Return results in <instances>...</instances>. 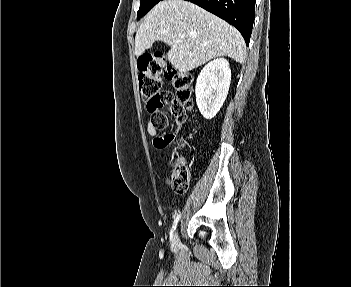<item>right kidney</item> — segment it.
<instances>
[{"label":"right kidney","instance_id":"1","mask_svg":"<svg viewBox=\"0 0 351 287\" xmlns=\"http://www.w3.org/2000/svg\"><path fill=\"white\" fill-rule=\"evenodd\" d=\"M231 70L224 58L210 61L198 75L196 103L205 119H212L222 107L230 86Z\"/></svg>","mask_w":351,"mask_h":287}]
</instances>
